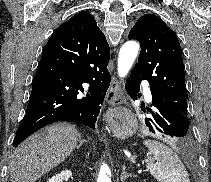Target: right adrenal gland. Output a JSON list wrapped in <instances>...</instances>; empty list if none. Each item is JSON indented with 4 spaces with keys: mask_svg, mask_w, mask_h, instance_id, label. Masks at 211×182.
Listing matches in <instances>:
<instances>
[{
    "mask_svg": "<svg viewBox=\"0 0 211 182\" xmlns=\"http://www.w3.org/2000/svg\"><path fill=\"white\" fill-rule=\"evenodd\" d=\"M87 141L85 140V139H80L79 140V144L78 145H76V148L77 149H80V147L83 145V143H86Z\"/></svg>",
    "mask_w": 211,
    "mask_h": 182,
    "instance_id": "1",
    "label": "right adrenal gland"
}]
</instances>
